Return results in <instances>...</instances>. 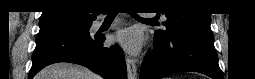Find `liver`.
<instances>
[{"label":"liver","mask_w":255,"mask_h":79,"mask_svg":"<svg viewBox=\"0 0 255 79\" xmlns=\"http://www.w3.org/2000/svg\"><path fill=\"white\" fill-rule=\"evenodd\" d=\"M35 79H101V77L86 67L60 62L45 67Z\"/></svg>","instance_id":"6515ba94"}]
</instances>
